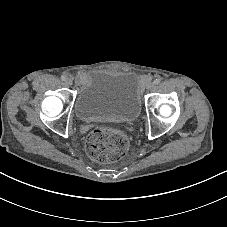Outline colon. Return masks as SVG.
Listing matches in <instances>:
<instances>
[{
    "label": "colon",
    "mask_w": 227,
    "mask_h": 227,
    "mask_svg": "<svg viewBox=\"0 0 227 227\" xmlns=\"http://www.w3.org/2000/svg\"><path fill=\"white\" fill-rule=\"evenodd\" d=\"M128 145V137L124 132L117 128L100 126L89 132L86 149L93 160L112 163L124 156Z\"/></svg>",
    "instance_id": "colon-1"
}]
</instances>
